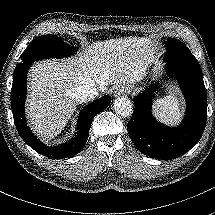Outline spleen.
<instances>
[{"mask_svg":"<svg viewBox=\"0 0 215 215\" xmlns=\"http://www.w3.org/2000/svg\"><path fill=\"white\" fill-rule=\"evenodd\" d=\"M155 113L163 121L177 123L181 116V102L177 94L168 93V97H160L155 104Z\"/></svg>","mask_w":215,"mask_h":215,"instance_id":"1","label":"spleen"}]
</instances>
